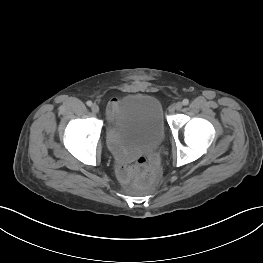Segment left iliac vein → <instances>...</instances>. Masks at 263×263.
<instances>
[{
	"label": "left iliac vein",
	"mask_w": 263,
	"mask_h": 263,
	"mask_svg": "<svg viewBox=\"0 0 263 263\" xmlns=\"http://www.w3.org/2000/svg\"><path fill=\"white\" fill-rule=\"evenodd\" d=\"M182 107H183V104H182L181 102H177V103L175 104V109H176L177 111L181 110Z\"/></svg>",
	"instance_id": "4c4485c4"
}]
</instances>
